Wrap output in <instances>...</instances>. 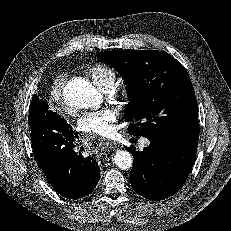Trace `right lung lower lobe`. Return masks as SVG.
<instances>
[{
    "mask_svg": "<svg viewBox=\"0 0 231 231\" xmlns=\"http://www.w3.org/2000/svg\"><path fill=\"white\" fill-rule=\"evenodd\" d=\"M33 99L38 97L34 95ZM48 108L43 100L30 126L34 158L58 194L79 199L94 190L100 179V168L94 155L85 156L75 151L77 133Z\"/></svg>",
    "mask_w": 231,
    "mask_h": 231,
    "instance_id": "obj_1",
    "label": "right lung lower lobe"
}]
</instances>
